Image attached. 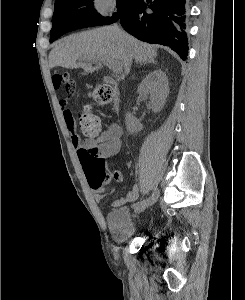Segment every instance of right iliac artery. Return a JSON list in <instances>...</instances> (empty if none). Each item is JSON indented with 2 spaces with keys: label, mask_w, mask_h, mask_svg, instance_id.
I'll return each instance as SVG.
<instances>
[{
  "label": "right iliac artery",
  "mask_w": 245,
  "mask_h": 300,
  "mask_svg": "<svg viewBox=\"0 0 245 300\" xmlns=\"http://www.w3.org/2000/svg\"><path fill=\"white\" fill-rule=\"evenodd\" d=\"M136 204H137L138 206H140V205H142V201H138ZM136 204H135V205H136ZM135 205H134V206H135Z\"/></svg>",
  "instance_id": "82829eb1"
}]
</instances>
